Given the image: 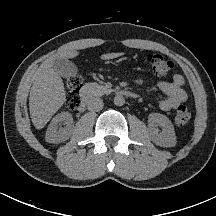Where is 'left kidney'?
<instances>
[{"label": "left kidney", "instance_id": "obj_1", "mask_svg": "<svg viewBox=\"0 0 216 216\" xmlns=\"http://www.w3.org/2000/svg\"><path fill=\"white\" fill-rule=\"evenodd\" d=\"M157 126L162 127L159 133ZM148 132L151 140L161 147H173L176 145V135L173 124L169 118L160 113H151L148 117Z\"/></svg>", "mask_w": 216, "mask_h": 216}]
</instances>
